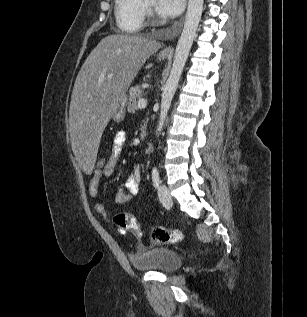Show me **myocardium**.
I'll list each match as a JSON object with an SVG mask.
<instances>
[{
  "instance_id": "myocardium-1",
  "label": "myocardium",
  "mask_w": 307,
  "mask_h": 317,
  "mask_svg": "<svg viewBox=\"0 0 307 317\" xmlns=\"http://www.w3.org/2000/svg\"><path fill=\"white\" fill-rule=\"evenodd\" d=\"M142 3H143L145 13L150 19V22L152 24H158V19L156 18L154 14L153 7L146 0H142Z\"/></svg>"
}]
</instances>
